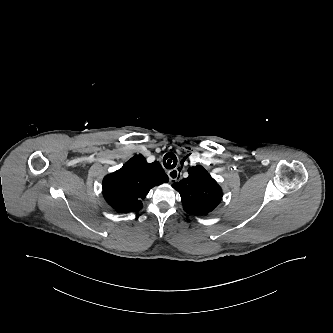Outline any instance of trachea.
Segmentation results:
<instances>
[{"instance_id":"trachea-1","label":"trachea","mask_w":333,"mask_h":333,"mask_svg":"<svg viewBox=\"0 0 333 333\" xmlns=\"http://www.w3.org/2000/svg\"><path fill=\"white\" fill-rule=\"evenodd\" d=\"M163 164L167 169H173L177 165V157L174 153L168 152L163 157Z\"/></svg>"}]
</instances>
